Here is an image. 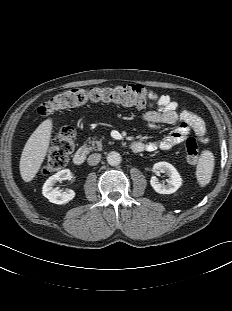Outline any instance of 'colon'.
<instances>
[{"label": "colon", "instance_id": "obj_1", "mask_svg": "<svg viewBox=\"0 0 232 311\" xmlns=\"http://www.w3.org/2000/svg\"><path fill=\"white\" fill-rule=\"evenodd\" d=\"M115 103L122 106L146 108L152 100L140 85H122L116 87L73 88L55 94L39 107L41 115H49L58 110L74 108L86 103ZM75 148V130L71 126H63L57 132L53 145L50 148L43 172L63 168ZM186 160L195 165L199 159V144L196 138L188 137L185 142Z\"/></svg>", "mask_w": 232, "mask_h": 311}]
</instances>
